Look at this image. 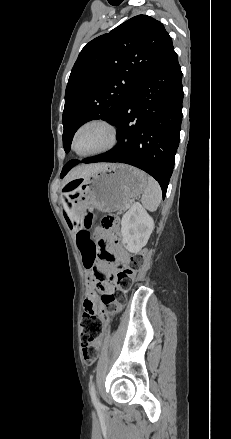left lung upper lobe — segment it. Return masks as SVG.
I'll return each instance as SVG.
<instances>
[{"label":"left lung upper lobe","instance_id":"5c2ea615","mask_svg":"<svg viewBox=\"0 0 231 439\" xmlns=\"http://www.w3.org/2000/svg\"><path fill=\"white\" fill-rule=\"evenodd\" d=\"M172 47L164 25L147 15L135 16L90 41L80 52L66 87L65 151H70L82 124L93 119L114 124L132 89ZM69 162L61 177L68 172Z\"/></svg>","mask_w":231,"mask_h":439}]
</instances>
